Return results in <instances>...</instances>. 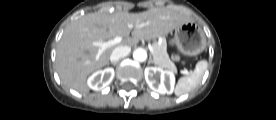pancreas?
<instances>
[{"label":"pancreas","instance_id":"obj_1","mask_svg":"<svg viewBox=\"0 0 276 120\" xmlns=\"http://www.w3.org/2000/svg\"><path fill=\"white\" fill-rule=\"evenodd\" d=\"M153 47V58L155 61V64L168 69L171 72H177L175 64L170 60L169 55L167 53V45L165 42L161 43L160 45L158 43H154L152 45Z\"/></svg>","mask_w":276,"mask_h":120}]
</instances>
